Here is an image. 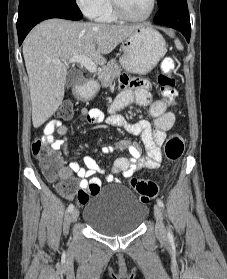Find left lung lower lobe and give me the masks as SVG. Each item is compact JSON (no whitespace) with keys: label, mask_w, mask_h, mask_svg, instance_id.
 Wrapping results in <instances>:
<instances>
[{"label":"left lung lower lobe","mask_w":227,"mask_h":279,"mask_svg":"<svg viewBox=\"0 0 227 279\" xmlns=\"http://www.w3.org/2000/svg\"><path fill=\"white\" fill-rule=\"evenodd\" d=\"M153 22L180 31L187 42L190 41L191 24L186 0L168 1L159 8Z\"/></svg>","instance_id":"1"}]
</instances>
